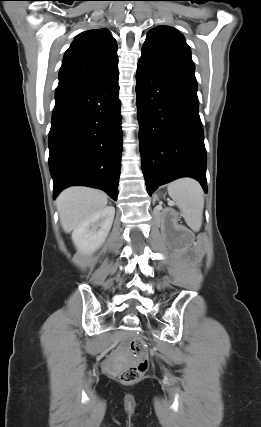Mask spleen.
Masks as SVG:
<instances>
[{"mask_svg":"<svg viewBox=\"0 0 261 427\" xmlns=\"http://www.w3.org/2000/svg\"><path fill=\"white\" fill-rule=\"evenodd\" d=\"M168 194L182 211L186 224L195 232L202 226L203 190L192 178H182L168 185Z\"/></svg>","mask_w":261,"mask_h":427,"instance_id":"spleen-1","label":"spleen"}]
</instances>
